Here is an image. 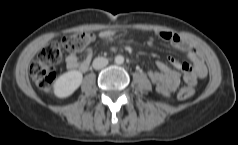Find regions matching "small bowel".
<instances>
[{"label":"small bowel","mask_w":238,"mask_h":145,"mask_svg":"<svg viewBox=\"0 0 238 145\" xmlns=\"http://www.w3.org/2000/svg\"><path fill=\"white\" fill-rule=\"evenodd\" d=\"M157 35L160 39L170 42L174 47L183 51L187 58L193 63V69L191 70L188 63L178 61L173 57H169L171 64L185 73L184 80L186 83H188L190 86H194L199 79H202L206 76L207 69L197 49L193 47L185 38L177 33L166 30L158 31ZM99 36L102 39L110 40L115 36V30H103L100 32ZM112 50H114L113 47ZM92 55L93 52L91 47H87L84 50V57L81 61L78 59L76 54L71 53L67 55L65 59L66 66L71 70L85 72L90 67ZM156 65L158 71H149L148 76L155 84L157 91L160 94L169 96L178 88L180 84V73L171 69L163 61H158Z\"/></svg>","instance_id":"c3829d8e"}]
</instances>
